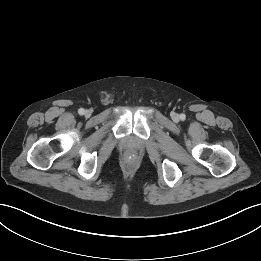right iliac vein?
Listing matches in <instances>:
<instances>
[{"label":"right iliac vein","instance_id":"right-iliac-vein-1","mask_svg":"<svg viewBox=\"0 0 261 261\" xmlns=\"http://www.w3.org/2000/svg\"><path fill=\"white\" fill-rule=\"evenodd\" d=\"M85 115L86 116H89L90 115V112L88 110L85 111Z\"/></svg>","mask_w":261,"mask_h":261}]
</instances>
